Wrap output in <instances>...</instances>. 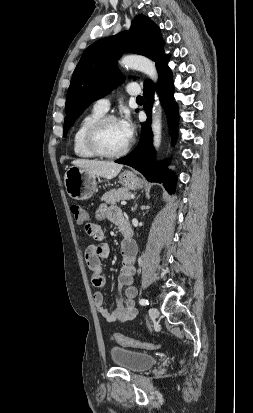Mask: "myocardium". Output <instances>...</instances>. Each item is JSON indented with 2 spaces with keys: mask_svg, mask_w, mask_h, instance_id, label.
I'll use <instances>...</instances> for the list:
<instances>
[{
  "mask_svg": "<svg viewBox=\"0 0 253 413\" xmlns=\"http://www.w3.org/2000/svg\"><path fill=\"white\" fill-rule=\"evenodd\" d=\"M110 121H117V119L114 115H103L93 121L85 132V144L87 148L96 156L103 158H117L125 155L130 150V141H128L121 150L116 152H107L102 149L99 143V133L102 127Z\"/></svg>",
  "mask_w": 253,
  "mask_h": 413,
  "instance_id": "f54148a6",
  "label": "myocardium"
}]
</instances>
